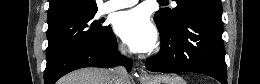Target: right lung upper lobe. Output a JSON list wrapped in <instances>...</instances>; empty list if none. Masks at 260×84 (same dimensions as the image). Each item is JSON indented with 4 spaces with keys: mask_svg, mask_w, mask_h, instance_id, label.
Wrapping results in <instances>:
<instances>
[{
    "mask_svg": "<svg viewBox=\"0 0 260 84\" xmlns=\"http://www.w3.org/2000/svg\"><path fill=\"white\" fill-rule=\"evenodd\" d=\"M48 28L76 17L97 12L95 0H49Z\"/></svg>",
    "mask_w": 260,
    "mask_h": 84,
    "instance_id": "right-lung-upper-lobe-1",
    "label": "right lung upper lobe"
}]
</instances>
